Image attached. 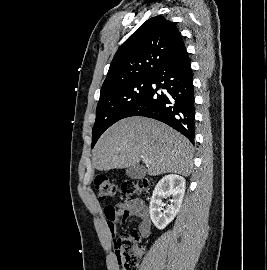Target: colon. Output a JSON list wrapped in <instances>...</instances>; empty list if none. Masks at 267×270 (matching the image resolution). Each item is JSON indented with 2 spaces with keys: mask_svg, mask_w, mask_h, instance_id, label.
<instances>
[{
  "mask_svg": "<svg viewBox=\"0 0 267 270\" xmlns=\"http://www.w3.org/2000/svg\"><path fill=\"white\" fill-rule=\"evenodd\" d=\"M147 179L124 182L121 187L112 182L106 176H97L94 179V187L97 196L101 200L114 198L119 192L126 196L144 194L149 188ZM139 235L136 231L122 233L113 239L115 254L120 270H137L141 257L139 248Z\"/></svg>",
  "mask_w": 267,
  "mask_h": 270,
  "instance_id": "1",
  "label": "colon"
}]
</instances>
